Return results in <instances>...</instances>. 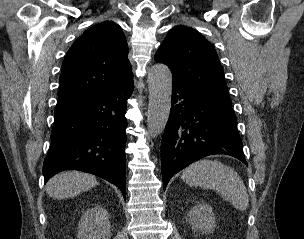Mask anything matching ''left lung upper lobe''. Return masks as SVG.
Segmentation results:
<instances>
[{
  "mask_svg": "<svg viewBox=\"0 0 304 239\" xmlns=\"http://www.w3.org/2000/svg\"><path fill=\"white\" fill-rule=\"evenodd\" d=\"M155 61L170 68L173 82L231 104L216 50L196 30L173 27L158 49Z\"/></svg>",
  "mask_w": 304,
  "mask_h": 239,
  "instance_id": "left-lung-upper-lobe-1",
  "label": "left lung upper lobe"
}]
</instances>
